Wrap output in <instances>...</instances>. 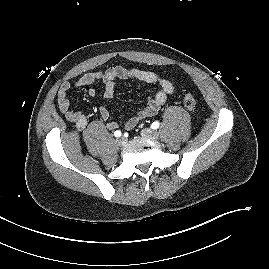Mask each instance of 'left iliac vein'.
<instances>
[{
  "label": "left iliac vein",
  "instance_id": "left-iliac-vein-1",
  "mask_svg": "<svg viewBox=\"0 0 269 269\" xmlns=\"http://www.w3.org/2000/svg\"><path fill=\"white\" fill-rule=\"evenodd\" d=\"M141 135L144 138H149L152 140H156L159 137V133L156 130L150 129V128H145L141 131Z\"/></svg>",
  "mask_w": 269,
  "mask_h": 269
}]
</instances>
